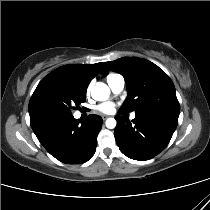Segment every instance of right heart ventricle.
Listing matches in <instances>:
<instances>
[{"instance_id":"right-heart-ventricle-1","label":"right heart ventricle","mask_w":210,"mask_h":210,"mask_svg":"<svg viewBox=\"0 0 210 210\" xmlns=\"http://www.w3.org/2000/svg\"><path fill=\"white\" fill-rule=\"evenodd\" d=\"M114 76H115V74H110V75H108V76H107V80L110 79V78H112V77H114Z\"/></svg>"}]
</instances>
